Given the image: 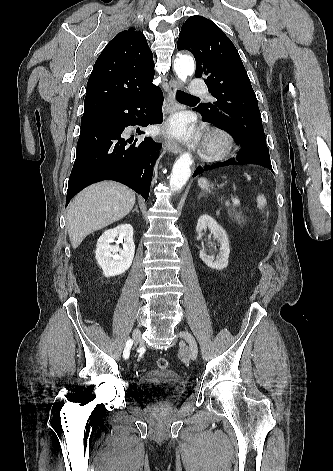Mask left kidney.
I'll use <instances>...</instances> for the list:
<instances>
[{
    "label": "left kidney",
    "instance_id": "obj_1",
    "mask_svg": "<svg viewBox=\"0 0 333 471\" xmlns=\"http://www.w3.org/2000/svg\"><path fill=\"white\" fill-rule=\"evenodd\" d=\"M207 228L211 233H213L214 238L217 239L220 243L219 256L217 260H215L214 256H208L204 250L200 251L199 256L208 267L216 270H223L228 265V258L230 254L228 235L211 216L203 214L198 219L196 232L201 234L202 231Z\"/></svg>",
    "mask_w": 333,
    "mask_h": 471
}]
</instances>
